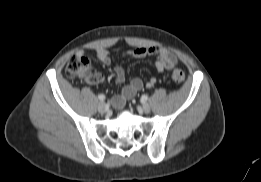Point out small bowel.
Returning <instances> with one entry per match:
<instances>
[{"label": "small bowel", "mask_w": 261, "mask_h": 182, "mask_svg": "<svg viewBox=\"0 0 261 182\" xmlns=\"http://www.w3.org/2000/svg\"><path fill=\"white\" fill-rule=\"evenodd\" d=\"M85 51H79L78 56H85ZM122 56H129L135 59L144 58L146 56H156L155 68L158 73H163L169 71L177 64L176 56L171 53L168 49L164 47H137L129 52H122ZM96 55L98 59L105 65H110L112 63V56L108 50L104 48H98L96 50ZM114 78L117 84H122L125 81V71L121 66L114 67ZM104 80V76L100 73H95L92 75L89 82L91 83H101ZM157 78L152 76L145 83L146 87L151 88L155 85ZM144 86L142 79L135 77L129 84L124 86L122 91L112 98V103L115 107L121 108L125 101L133 97L138 91H140Z\"/></svg>", "instance_id": "c3829d8e"}]
</instances>
